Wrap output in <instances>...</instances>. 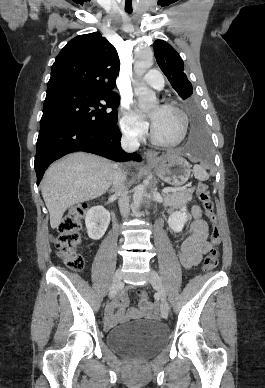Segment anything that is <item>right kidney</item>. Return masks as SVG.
<instances>
[{
    "mask_svg": "<svg viewBox=\"0 0 265 388\" xmlns=\"http://www.w3.org/2000/svg\"><path fill=\"white\" fill-rule=\"evenodd\" d=\"M85 224L89 238L101 240L110 224V214L102 206H93L86 214Z\"/></svg>",
    "mask_w": 265,
    "mask_h": 388,
    "instance_id": "right-kidney-1",
    "label": "right kidney"
}]
</instances>
